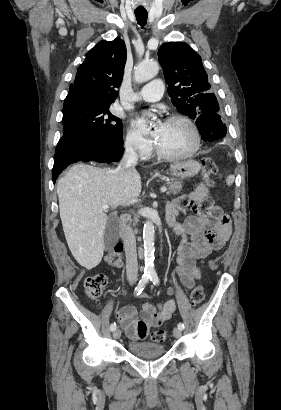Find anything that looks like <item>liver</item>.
Wrapping results in <instances>:
<instances>
[{"mask_svg":"<svg viewBox=\"0 0 281 410\" xmlns=\"http://www.w3.org/2000/svg\"><path fill=\"white\" fill-rule=\"evenodd\" d=\"M141 189V177L135 168L120 177L115 170L78 163L59 179L57 194L63 231L81 266L90 270L102 260L108 221L102 206L116 208L126 204L136 199Z\"/></svg>","mask_w":281,"mask_h":410,"instance_id":"1","label":"liver"}]
</instances>
